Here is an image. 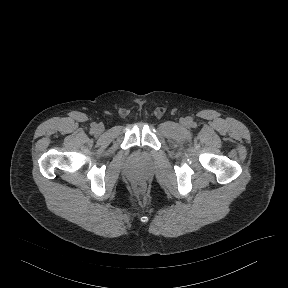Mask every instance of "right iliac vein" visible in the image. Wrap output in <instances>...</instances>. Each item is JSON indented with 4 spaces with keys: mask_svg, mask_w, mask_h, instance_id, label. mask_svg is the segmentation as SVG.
<instances>
[{
    "mask_svg": "<svg viewBox=\"0 0 288 288\" xmlns=\"http://www.w3.org/2000/svg\"><path fill=\"white\" fill-rule=\"evenodd\" d=\"M97 131L102 132L104 130V127L102 125H97Z\"/></svg>",
    "mask_w": 288,
    "mask_h": 288,
    "instance_id": "63e3f726",
    "label": "right iliac vein"
}]
</instances>
